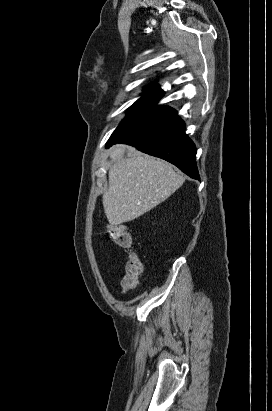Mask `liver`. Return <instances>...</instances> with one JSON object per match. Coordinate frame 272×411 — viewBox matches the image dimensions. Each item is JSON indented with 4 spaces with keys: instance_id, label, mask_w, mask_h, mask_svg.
<instances>
[{
    "instance_id": "obj_1",
    "label": "liver",
    "mask_w": 272,
    "mask_h": 411,
    "mask_svg": "<svg viewBox=\"0 0 272 411\" xmlns=\"http://www.w3.org/2000/svg\"><path fill=\"white\" fill-rule=\"evenodd\" d=\"M110 158L109 186L102 197L110 225L140 217L166 200L185 180L169 163L128 145L112 147Z\"/></svg>"
}]
</instances>
